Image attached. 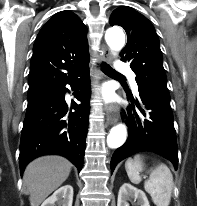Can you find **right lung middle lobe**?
<instances>
[{"label":"right lung middle lobe","mask_w":197,"mask_h":206,"mask_svg":"<svg viewBox=\"0 0 197 206\" xmlns=\"http://www.w3.org/2000/svg\"><path fill=\"white\" fill-rule=\"evenodd\" d=\"M56 90H33L28 91L27 99H28V106L34 105L47 97L54 94Z\"/></svg>","instance_id":"1"}]
</instances>
